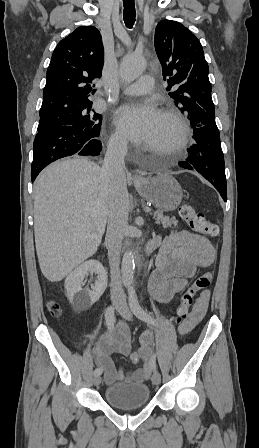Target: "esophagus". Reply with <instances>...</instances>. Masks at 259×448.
<instances>
[{"mask_svg": "<svg viewBox=\"0 0 259 448\" xmlns=\"http://www.w3.org/2000/svg\"><path fill=\"white\" fill-rule=\"evenodd\" d=\"M141 177L138 174H134L133 175V180H139Z\"/></svg>", "mask_w": 259, "mask_h": 448, "instance_id": "esophagus-1", "label": "esophagus"}]
</instances>
